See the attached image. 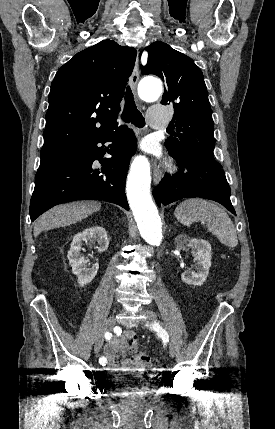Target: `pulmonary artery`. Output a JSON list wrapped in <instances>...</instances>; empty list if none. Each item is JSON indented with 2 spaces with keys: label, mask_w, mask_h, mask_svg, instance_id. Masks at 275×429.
Returning <instances> with one entry per match:
<instances>
[{
  "label": "pulmonary artery",
  "mask_w": 275,
  "mask_h": 429,
  "mask_svg": "<svg viewBox=\"0 0 275 429\" xmlns=\"http://www.w3.org/2000/svg\"><path fill=\"white\" fill-rule=\"evenodd\" d=\"M148 120L153 128H160L167 124L168 115L167 112L161 107H152L148 111Z\"/></svg>",
  "instance_id": "pulmonary-artery-1"
}]
</instances>
